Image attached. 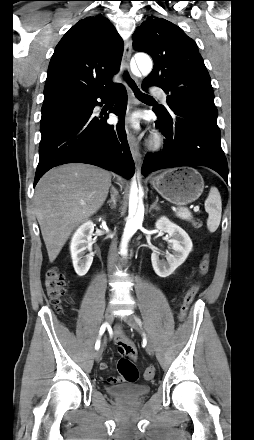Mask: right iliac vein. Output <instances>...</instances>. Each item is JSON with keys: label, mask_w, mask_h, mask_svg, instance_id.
Returning a JSON list of instances; mask_svg holds the SVG:
<instances>
[{"label": "right iliac vein", "mask_w": 254, "mask_h": 440, "mask_svg": "<svg viewBox=\"0 0 254 440\" xmlns=\"http://www.w3.org/2000/svg\"><path fill=\"white\" fill-rule=\"evenodd\" d=\"M105 320L108 324H110L113 321V314L111 309H107L105 313ZM103 349L100 348L95 352V360L100 361L102 358Z\"/></svg>", "instance_id": "right-iliac-vein-1"}]
</instances>
